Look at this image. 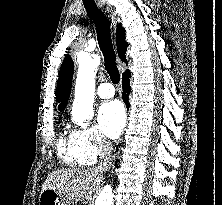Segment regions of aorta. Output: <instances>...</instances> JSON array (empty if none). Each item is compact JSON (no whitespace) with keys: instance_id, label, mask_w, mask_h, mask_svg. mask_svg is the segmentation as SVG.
<instances>
[{"instance_id":"1","label":"aorta","mask_w":222,"mask_h":205,"mask_svg":"<svg viewBox=\"0 0 222 205\" xmlns=\"http://www.w3.org/2000/svg\"><path fill=\"white\" fill-rule=\"evenodd\" d=\"M99 59L86 56L79 62V69L75 84V100L72 106V119L78 125L85 126L93 116L95 98V75ZM115 188L107 184L100 192L96 205H113Z\"/></svg>"}]
</instances>
